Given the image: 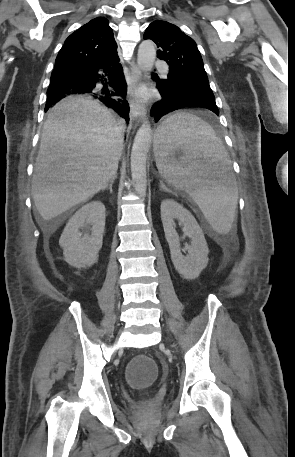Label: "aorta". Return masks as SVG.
Instances as JSON below:
<instances>
[{
	"label": "aorta",
	"mask_w": 295,
	"mask_h": 457,
	"mask_svg": "<svg viewBox=\"0 0 295 457\" xmlns=\"http://www.w3.org/2000/svg\"><path fill=\"white\" fill-rule=\"evenodd\" d=\"M156 59L155 44L151 40L143 41L138 49L137 64L145 73L152 70ZM152 138V127L145 121L138 129L131 151V175L136 193L144 197L147 189L146 160Z\"/></svg>",
	"instance_id": "762f6f07"
}]
</instances>
